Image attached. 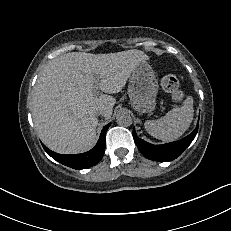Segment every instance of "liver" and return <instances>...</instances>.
Listing matches in <instances>:
<instances>
[{
	"mask_svg": "<svg viewBox=\"0 0 231 231\" xmlns=\"http://www.w3.org/2000/svg\"><path fill=\"white\" fill-rule=\"evenodd\" d=\"M148 56L141 50L91 54L71 52L51 60L41 71L32 95V117L41 141L61 154L90 150L96 143L98 119L103 109L109 119L114 94L126 85L133 70ZM107 94L97 96L94 84Z\"/></svg>",
	"mask_w": 231,
	"mask_h": 231,
	"instance_id": "6515ba94",
	"label": "liver"
}]
</instances>
